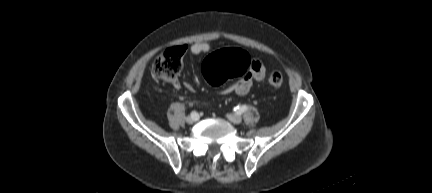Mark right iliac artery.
Masks as SVG:
<instances>
[{
  "label": "right iliac artery",
  "mask_w": 432,
  "mask_h": 193,
  "mask_svg": "<svg viewBox=\"0 0 432 193\" xmlns=\"http://www.w3.org/2000/svg\"><path fill=\"white\" fill-rule=\"evenodd\" d=\"M191 115L192 116H197V111H192Z\"/></svg>",
  "instance_id": "right-iliac-artery-1"
}]
</instances>
